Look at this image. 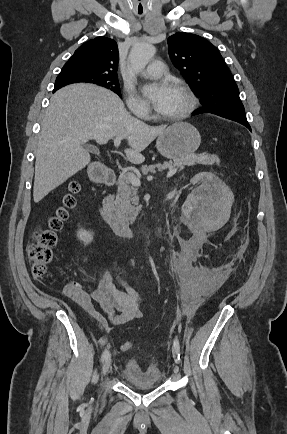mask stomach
Returning <instances> with one entry per match:
<instances>
[{"label":"stomach","mask_w":287,"mask_h":434,"mask_svg":"<svg viewBox=\"0 0 287 434\" xmlns=\"http://www.w3.org/2000/svg\"><path fill=\"white\" fill-rule=\"evenodd\" d=\"M201 143L198 130L186 122H178L167 127L156 141L161 155L168 159H177L194 153Z\"/></svg>","instance_id":"stomach-1"}]
</instances>
